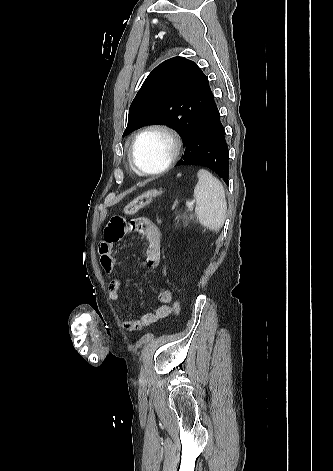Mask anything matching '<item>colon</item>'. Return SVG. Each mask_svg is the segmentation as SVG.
<instances>
[{
	"instance_id": "5ec220e1",
	"label": "colon",
	"mask_w": 333,
	"mask_h": 471,
	"mask_svg": "<svg viewBox=\"0 0 333 471\" xmlns=\"http://www.w3.org/2000/svg\"><path fill=\"white\" fill-rule=\"evenodd\" d=\"M162 189L160 188H151L129 203H127L124 207V213L126 215H133L139 210H141L143 207L148 205L151 201H153L156 197L161 195ZM173 310L175 315L177 316L180 312V304L177 300L174 301L173 303Z\"/></svg>"
}]
</instances>
